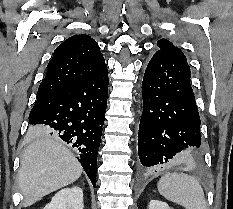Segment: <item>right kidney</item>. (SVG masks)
I'll list each match as a JSON object with an SVG mask.
<instances>
[{
	"mask_svg": "<svg viewBox=\"0 0 233 209\" xmlns=\"http://www.w3.org/2000/svg\"><path fill=\"white\" fill-rule=\"evenodd\" d=\"M44 209H84L82 188L73 186L60 190Z\"/></svg>",
	"mask_w": 233,
	"mask_h": 209,
	"instance_id": "ca27d5eb",
	"label": "right kidney"
}]
</instances>
